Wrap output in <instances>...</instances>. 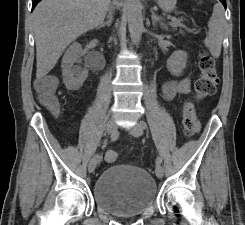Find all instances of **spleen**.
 <instances>
[{"mask_svg": "<svg viewBox=\"0 0 245 225\" xmlns=\"http://www.w3.org/2000/svg\"><path fill=\"white\" fill-rule=\"evenodd\" d=\"M225 23L224 9L220 4H216L208 23V36L204 40L205 46L215 58H218L221 53Z\"/></svg>", "mask_w": 245, "mask_h": 225, "instance_id": "3e777b00", "label": "spleen"}]
</instances>
